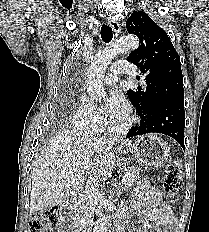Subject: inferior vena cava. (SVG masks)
<instances>
[{"mask_svg": "<svg viewBox=\"0 0 209 232\" xmlns=\"http://www.w3.org/2000/svg\"><path fill=\"white\" fill-rule=\"evenodd\" d=\"M97 196L98 183L94 179L87 183L85 192L81 199L79 232H91L94 224V209Z\"/></svg>", "mask_w": 209, "mask_h": 232, "instance_id": "obj_1", "label": "inferior vena cava"}]
</instances>
